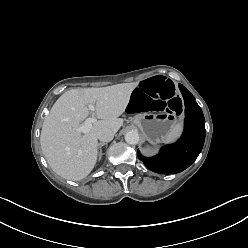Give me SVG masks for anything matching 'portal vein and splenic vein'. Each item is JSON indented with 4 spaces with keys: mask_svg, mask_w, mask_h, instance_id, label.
<instances>
[{
    "mask_svg": "<svg viewBox=\"0 0 248 248\" xmlns=\"http://www.w3.org/2000/svg\"><path fill=\"white\" fill-rule=\"evenodd\" d=\"M88 107L91 111H95V107L92 104H89ZM96 121H97V119L95 116L87 118L82 125H80L79 127L76 128V131L80 132V133H87L91 130L93 124Z\"/></svg>",
    "mask_w": 248,
    "mask_h": 248,
    "instance_id": "1",
    "label": "portal vein and splenic vein"
}]
</instances>
